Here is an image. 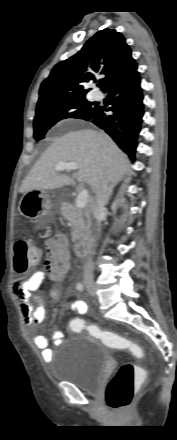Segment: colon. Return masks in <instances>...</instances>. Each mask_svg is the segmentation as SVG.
<instances>
[{"label": "colon", "instance_id": "5ec220e1", "mask_svg": "<svg viewBox=\"0 0 177 440\" xmlns=\"http://www.w3.org/2000/svg\"><path fill=\"white\" fill-rule=\"evenodd\" d=\"M14 253V267L18 273L25 272L31 266L44 260L42 250L34 244L29 236L17 240ZM70 328L75 332L87 330L91 336L101 340L108 347L129 350L137 357L142 356V349L129 338L114 332L104 331L96 325L85 323L82 319L73 318L70 321ZM143 377L144 374L137 365L131 363L121 365L107 384L105 390L107 405L116 410L129 407Z\"/></svg>", "mask_w": 177, "mask_h": 440}]
</instances>
